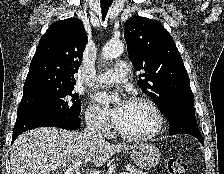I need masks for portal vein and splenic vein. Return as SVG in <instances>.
<instances>
[{"instance_id": "obj_1", "label": "portal vein and splenic vein", "mask_w": 224, "mask_h": 174, "mask_svg": "<svg viewBox=\"0 0 224 174\" xmlns=\"http://www.w3.org/2000/svg\"><path fill=\"white\" fill-rule=\"evenodd\" d=\"M75 167H79L81 165V159H76L73 161ZM120 174H129L128 172H122Z\"/></svg>"}]
</instances>
